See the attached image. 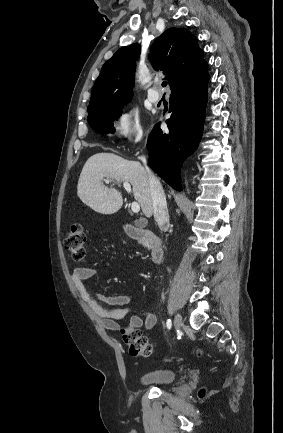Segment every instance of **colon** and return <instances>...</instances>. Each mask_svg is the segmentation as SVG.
<instances>
[{"instance_id": "5ec220e1", "label": "colon", "mask_w": 283, "mask_h": 433, "mask_svg": "<svg viewBox=\"0 0 283 433\" xmlns=\"http://www.w3.org/2000/svg\"><path fill=\"white\" fill-rule=\"evenodd\" d=\"M64 245L71 258L76 262H84L86 258V233L83 226L75 223L64 238ZM124 343L128 346L129 354L133 357H149L154 350L146 336L139 329L125 327L121 329ZM204 391H200V396Z\"/></svg>"}]
</instances>
